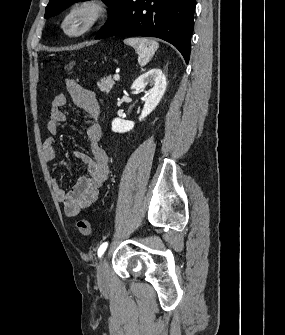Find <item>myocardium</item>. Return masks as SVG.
<instances>
[{
	"label": "myocardium",
	"mask_w": 285,
	"mask_h": 335,
	"mask_svg": "<svg viewBox=\"0 0 285 335\" xmlns=\"http://www.w3.org/2000/svg\"><path fill=\"white\" fill-rule=\"evenodd\" d=\"M84 13H87V17L84 21L81 24L72 25V27H70L72 34L78 35L95 27L107 16L108 7L100 2H80L71 10L69 20H73L75 16L79 14L83 15Z\"/></svg>",
	"instance_id": "f54148a6"
}]
</instances>
